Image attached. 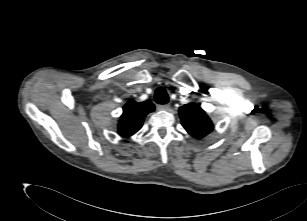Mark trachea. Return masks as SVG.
<instances>
[{
	"mask_svg": "<svg viewBox=\"0 0 307 221\" xmlns=\"http://www.w3.org/2000/svg\"><path fill=\"white\" fill-rule=\"evenodd\" d=\"M154 98L158 104H166L169 101L168 94L164 87H158L156 89Z\"/></svg>",
	"mask_w": 307,
	"mask_h": 221,
	"instance_id": "1",
	"label": "trachea"
}]
</instances>
